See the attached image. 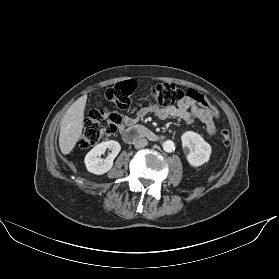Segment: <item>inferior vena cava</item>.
<instances>
[{"mask_svg": "<svg viewBox=\"0 0 279 279\" xmlns=\"http://www.w3.org/2000/svg\"><path fill=\"white\" fill-rule=\"evenodd\" d=\"M147 144H148V140H147L146 138H141V139H138V140L134 143V146H135V148H137V149H141V148H144Z\"/></svg>", "mask_w": 279, "mask_h": 279, "instance_id": "1", "label": "inferior vena cava"}]
</instances>
